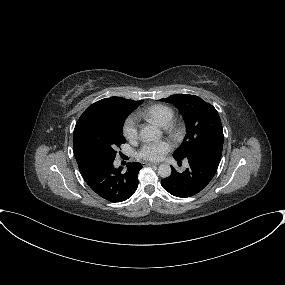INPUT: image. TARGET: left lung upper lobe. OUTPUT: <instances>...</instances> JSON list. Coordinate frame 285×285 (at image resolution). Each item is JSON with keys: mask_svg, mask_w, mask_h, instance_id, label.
<instances>
[{"mask_svg": "<svg viewBox=\"0 0 285 285\" xmlns=\"http://www.w3.org/2000/svg\"><path fill=\"white\" fill-rule=\"evenodd\" d=\"M161 101L174 104L186 123V136L173 156L183 159L190 153L208 147L223 146V129L217 110L200 97L175 94Z\"/></svg>", "mask_w": 285, "mask_h": 285, "instance_id": "left-lung-upper-lobe-1", "label": "left lung upper lobe"}]
</instances>
